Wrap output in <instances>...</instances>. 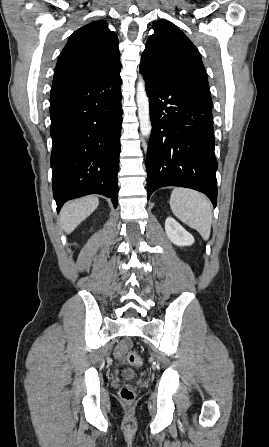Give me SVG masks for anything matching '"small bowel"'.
Returning a JSON list of instances; mask_svg holds the SVG:
<instances>
[{"label": "small bowel", "instance_id": "1", "mask_svg": "<svg viewBox=\"0 0 269 447\" xmlns=\"http://www.w3.org/2000/svg\"><path fill=\"white\" fill-rule=\"evenodd\" d=\"M127 348L125 344H123L116 352L117 357L122 358L124 355V350Z\"/></svg>", "mask_w": 269, "mask_h": 447}]
</instances>
